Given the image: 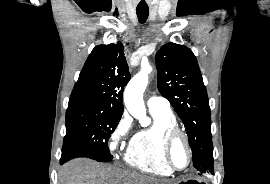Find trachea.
Instances as JSON below:
<instances>
[{
    "instance_id": "1",
    "label": "trachea",
    "mask_w": 270,
    "mask_h": 184,
    "mask_svg": "<svg viewBox=\"0 0 270 184\" xmlns=\"http://www.w3.org/2000/svg\"><path fill=\"white\" fill-rule=\"evenodd\" d=\"M137 17L139 19L140 23H145L148 15H149V10L148 9H137L136 11Z\"/></svg>"
}]
</instances>
